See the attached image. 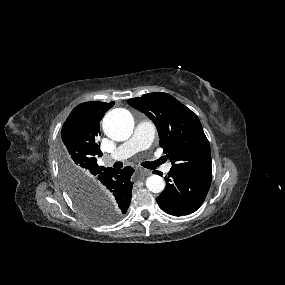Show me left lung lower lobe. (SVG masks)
I'll return each mask as SVG.
<instances>
[{
	"mask_svg": "<svg viewBox=\"0 0 285 285\" xmlns=\"http://www.w3.org/2000/svg\"><path fill=\"white\" fill-rule=\"evenodd\" d=\"M153 173L161 175L159 171ZM165 190L157 197L160 208L181 216L195 212L205 200L211 180L192 177L170 170Z\"/></svg>",
	"mask_w": 285,
	"mask_h": 285,
	"instance_id": "left-lung-lower-lobe-1",
	"label": "left lung lower lobe"
}]
</instances>
